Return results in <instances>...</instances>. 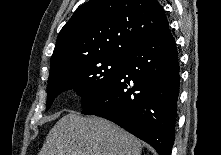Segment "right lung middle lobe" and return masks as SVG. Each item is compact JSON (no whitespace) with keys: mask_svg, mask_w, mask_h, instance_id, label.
<instances>
[{"mask_svg":"<svg viewBox=\"0 0 221 155\" xmlns=\"http://www.w3.org/2000/svg\"><path fill=\"white\" fill-rule=\"evenodd\" d=\"M126 56H109L80 60L49 76L47 85L48 110L58 94L75 88L85 107L114 80Z\"/></svg>","mask_w":221,"mask_h":155,"instance_id":"obj_1","label":"right lung middle lobe"}]
</instances>
